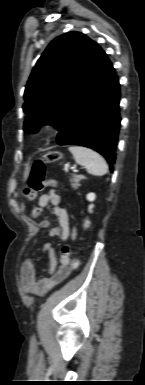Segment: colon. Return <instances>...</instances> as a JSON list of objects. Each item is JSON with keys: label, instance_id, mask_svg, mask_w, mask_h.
<instances>
[{"label": "colon", "instance_id": "colon-1", "mask_svg": "<svg viewBox=\"0 0 145 385\" xmlns=\"http://www.w3.org/2000/svg\"><path fill=\"white\" fill-rule=\"evenodd\" d=\"M62 155L58 151L46 152L40 159L35 160L27 174L26 182L24 185V193L29 198L34 199L39 191H41L48 182L45 180L46 167L48 164L57 163L61 160ZM39 210L35 211V214H39ZM90 227V220L88 217H85L82 225V231L87 230ZM71 254V249L68 246H65L62 249V255L69 257ZM74 268L78 266V260L73 258L71 261Z\"/></svg>", "mask_w": 145, "mask_h": 385}]
</instances>
